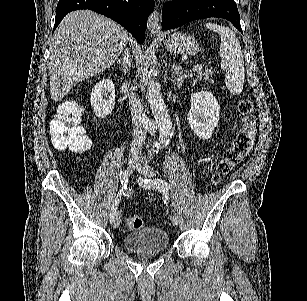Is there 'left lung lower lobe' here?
<instances>
[{
  "mask_svg": "<svg viewBox=\"0 0 307 301\" xmlns=\"http://www.w3.org/2000/svg\"><path fill=\"white\" fill-rule=\"evenodd\" d=\"M209 17L229 20L240 32V15L233 0H173L163 5L162 28H177L183 24Z\"/></svg>",
  "mask_w": 307,
  "mask_h": 301,
  "instance_id": "1",
  "label": "left lung lower lobe"
}]
</instances>
